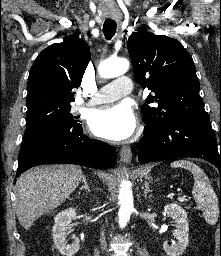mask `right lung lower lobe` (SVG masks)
Returning <instances> with one entry per match:
<instances>
[{
	"label": "right lung lower lobe",
	"mask_w": 221,
	"mask_h": 256,
	"mask_svg": "<svg viewBox=\"0 0 221 256\" xmlns=\"http://www.w3.org/2000/svg\"><path fill=\"white\" fill-rule=\"evenodd\" d=\"M68 163L93 168H112L115 149L83 134L80 123L54 126L23 140L16 176L42 164Z\"/></svg>",
	"instance_id": "obj_1"
}]
</instances>
